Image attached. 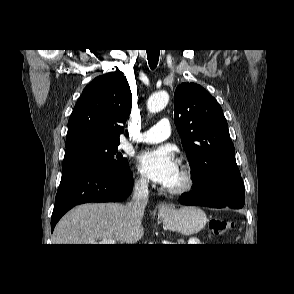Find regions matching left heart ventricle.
I'll return each instance as SVG.
<instances>
[{"label": "left heart ventricle", "mask_w": 294, "mask_h": 294, "mask_svg": "<svg viewBox=\"0 0 294 294\" xmlns=\"http://www.w3.org/2000/svg\"><path fill=\"white\" fill-rule=\"evenodd\" d=\"M182 183V175L180 169L177 170L175 176L172 178L167 187H177Z\"/></svg>", "instance_id": "obj_1"}]
</instances>
